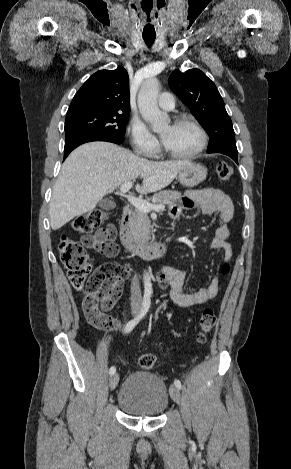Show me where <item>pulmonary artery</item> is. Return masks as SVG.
<instances>
[{
	"mask_svg": "<svg viewBox=\"0 0 291 469\" xmlns=\"http://www.w3.org/2000/svg\"><path fill=\"white\" fill-rule=\"evenodd\" d=\"M158 104L162 109L172 110L175 106L174 97L168 92H164L160 95Z\"/></svg>",
	"mask_w": 291,
	"mask_h": 469,
	"instance_id": "obj_1",
	"label": "pulmonary artery"
}]
</instances>
